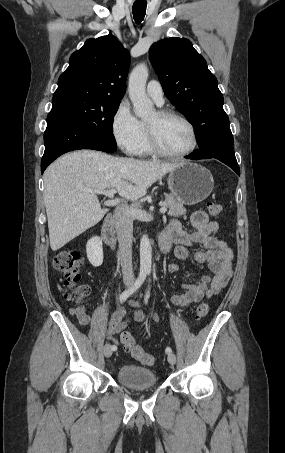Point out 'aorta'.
<instances>
[{
    "instance_id": "1",
    "label": "aorta",
    "mask_w": 285,
    "mask_h": 453,
    "mask_svg": "<svg viewBox=\"0 0 285 453\" xmlns=\"http://www.w3.org/2000/svg\"><path fill=\"white\" fill-rule=\"evenodd\" d=\"M148 68L146 64L137 65L129 76V97L132 101L134 113L139 118H146L153 113V103L146 94ZM152 249L149 238L143 235L140 240V273L151 272Z\"/></svg>"
}]
</instances>
